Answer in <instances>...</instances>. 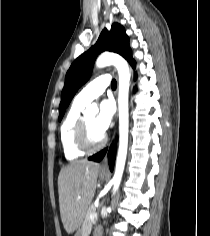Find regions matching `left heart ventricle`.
<instances>
[{
    "instance_id": "left-heart-ventricle-1",
    "label": "left heart ventricle",
    "mask_w": 210,
    "mask_h": 236,
    "mask_svg": "<svg viewBox=\"0 0 210 236\" xmlns=\"http://www.w3.org/2000/svg\"><path fill=\"white\" fill-rule=\"evenodd\" d=\"M85 118H86V122L88 124L89 130H90V135H91L92 140L94 141L100 140V138L102 137V133L99 132L94 125L95 116L86 115Z\"/></svg>"
}]
</instances>
